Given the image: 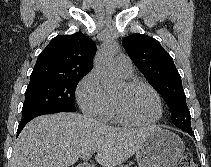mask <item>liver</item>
I'll list each match as a JSON object with an SVG mask.
<instances>
[{
  "label": "liver",
  "mask_w": 211,
  "mask_h": 167,
  "mask_svg": "<svg viewBox=\"0 0 211 167\" xmlns=\"http://www.w3.org/2000/svg\"><path fill=\"white\" fill-rule=\"evenodd\" d=\"M155 127L120 128L77 113L43 115L20 133L10 167H69L87 152H97L102 167L133 156Z\"/></svg>",
  "instance_id": "obj_1"
}]
</instances>
